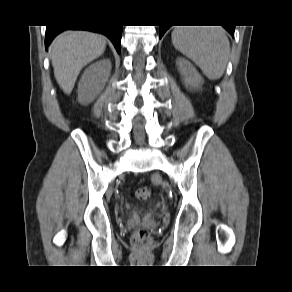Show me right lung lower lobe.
<instances>
[{
	"mask_svg": "<svg viewBox=\"0 0 292 292\" xmlns=\"http://www.w3.org/2000/svg\"><path fill=\"white\" fill-rule=\"evenodd\" d=\"M65 29H82L104 34L112 41L117 52L120 53L122 26H111L104 24L87 26H47L45 37L46 48L49 46L53 38Z\"/></svg>",
	"mask_w": 292,
	"mask_h": 292,
	"instance_id": "obj_1",
	"label": "right lung lower lobe"
}]
</instances>
